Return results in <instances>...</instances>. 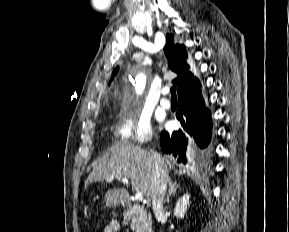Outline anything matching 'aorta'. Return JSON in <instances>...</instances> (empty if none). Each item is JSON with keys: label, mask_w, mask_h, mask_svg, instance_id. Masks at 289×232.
<instances>
[{"label": "aorta", "mask_w": 289, "mask_h": 232, "mask_svg": "<svg viewBox=\"0 0 289 232\" xmlns=\"http://www.w3.org/2000/svg\"><path fill=\"white\" fill-rule=\"evenodd\" d=\"M137 89L141 93L145 87V76L140 75L137 79Z\"/></svg>", "instance_id": "762f6f07"}]
</instances>
